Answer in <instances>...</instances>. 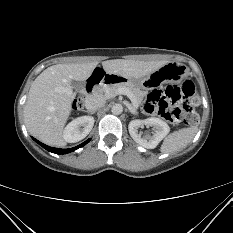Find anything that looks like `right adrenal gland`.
Instances as JSON below:
<instances>
[{
  "label": "right adrenal gland",
  "instance_id": "right-adrenal-gland-1",
  "mask_svg": "<svg viewBox=\"0 0 233 233\" xmlns=\"http://www.w3.org/2000/svg\"><path fill=\"white\" fill-rule=\"evenodd\" d=\"M82 111H84V112H87V113H89V114H94L96 111H89V110H82Z\"/></svg>",
  "mask_w": 233,
  "mask_h": 233
}]
</instances>
